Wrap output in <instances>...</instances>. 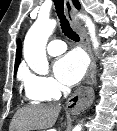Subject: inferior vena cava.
Wrapping results in <instances>:
<instances>
[{"instance_id": "obj_1", "label": "inferior vena cava", "mask_w": 117, "mask_h": 131, "mask_svg": "<svg viewBox=\"0 0 117 131\" xmlns=\"http://www.w3.org/2000/svg\"><path fill=\"white\" fill-rule=\"evenodd\" d=\"M70 88H68V87H66V86H64L63 88H62V92H63V95H64V97H67L68 96V94H70Z\"/></svg>"}]
</instances>
